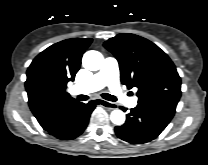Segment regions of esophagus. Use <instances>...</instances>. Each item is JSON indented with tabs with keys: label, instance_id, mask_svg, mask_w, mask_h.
I'll return each instance as SVG.
<instances>
[{
	"label": "esophagus",
	"instance_id": "esophagus-1",
	"mask_svg": "<svg viewBox=\"0 0 208 165\" xmlns=\"http://www.w3.org/2000/svg\"><path fill=\"white\" fill-rule=\"evenodd\" d=\"M95 103L107 109H116L117 107L115 103H112V102H109L100 98L96 99Z\"/></svg>",
	"mask_w": 208,
	"mask_h": 165
}]
</instances>
